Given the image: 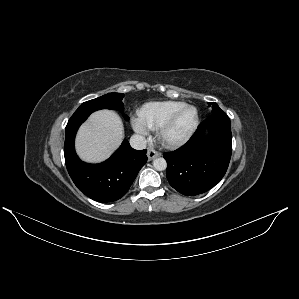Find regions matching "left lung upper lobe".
Instances as JSON below:
<instances>
[{"instance_id": "5c2ea615", "label": "left lung upper lobe", "mask_w": 299, "mask_h": 299, "mask_svg": "<svg viewBox=\"0 0 299 299\" xmlns=\"http://www.w3.org/2000/svg\"><path fill=\"white\" fill-rule=\"evenodd\" d=\"M212 114H224V112L219 108V106L216 103H213Z\"/></svg>"}]
</instances>
